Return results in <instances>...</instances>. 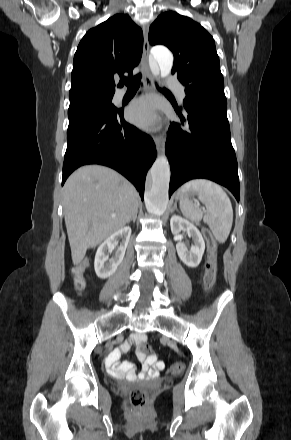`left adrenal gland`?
<instances>
[{"mask_svg": "<svg viewBox=\"0 0 291 440\" xmlns=\"http://www.w3.org/2000/svg\"><path fill=\"white\" fill-rule=\"evenodd\" d=\"M174 209H176L177 210V204L175 203V205H174Z\"/></svg>", "mask_w": 291, "mask_h": 440, "instance_id": "a2214340", "label": "left adrenal gland"}]
</instances>
